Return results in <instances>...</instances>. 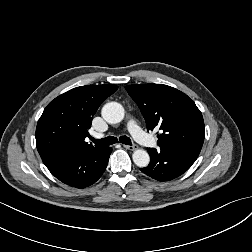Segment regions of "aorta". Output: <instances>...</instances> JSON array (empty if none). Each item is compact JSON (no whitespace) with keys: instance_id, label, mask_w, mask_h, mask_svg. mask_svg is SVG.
<instances>
[{"instance_id":"aorta-1","label":"aorta","mask_w":252,"mask_h":252,"mask_svg":"<svg viewBox=\"0 0 252 252\" xmlns=\"http://www.w3.org/2000/svg\"><path fill=\"white\" fill-rule=\"evenodd\" d=\"M101 114L108 123H119L124 118V108L117 102H108L103 106ZM132 158L134 163L141 168L148 166L150 162L149 154L143 149L135 150Z\"/></svg>"}]
</instances>
